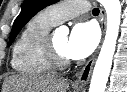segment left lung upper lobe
Wrapping results in <instances>:
<instances>
[{
	"label": "left lung upper lobe",
	"instance_id": "5c2ea615",
	"mask_svg": "<svg viewBox=\"0 0 127 92\" xmlns=\"http://www.w3.org/2000/svg\"><path fill=\"white\" fill-rule=\"evenodd\" d=\"M58 2V0H25L20 14L15 19L10 35L9 45L14 41L22 27L40 10Z\"/></svg>",
	"mask_w": 127,
	"mask_h": 92
}]
</instances>
